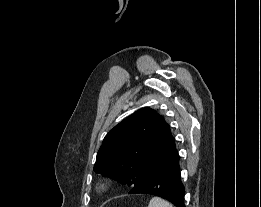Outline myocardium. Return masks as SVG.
I'll use <instances>...</instances> for the list:
<instances>
[{
	"mask_svg": "<svg viewBox=\"0 0 261 207\" xmlns=\"http://www.w3.org/2000/svg\"><path fill=\"white\" fill-rule=\"evenodd\" d=\"M106 189H107V183H106V182H100V183L97 185V190H98L99 192H104Z\"/></svg>",
	"mask_w": 261,
	"mask_h": 207,
	"instance_id": "obj_1",
	"label": "myocardium"
}]
</instances>
